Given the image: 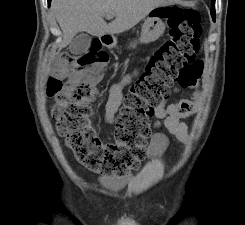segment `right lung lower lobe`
<instances>
[{
    "instance_id": "obj_1",
    "label": "right lung lower lobe",
    "mask_w": 245,
    "mask_h": 225,
    "mask_svg": "<svg viewBox=\"0 0 245 225\" xmlns=\"http://www.w3.org/2000/svg\"><path fill=\"white\" fill-rule=\"evenodd\" d=\"M51 0H48V5H50Z\"/></svg>"
}]
</instances>
